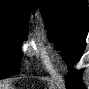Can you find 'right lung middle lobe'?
I'll list each match as a JSON object with an SVG mask.
<instances>
[{
  "label": "right lung middle lobe",
  "mask_w": 89,
  "mask_h": 89,
  "mask_svg": "<svg viewBox=\"0 0 89 89\" xmlns=\"http://www.w3.org/2000/svg\"><path fill=\"white\" fill-rule=\"evenodd\" d=\"M26 29L24 23L0 19V79L18 72L22 55L20 44Z\"/></svg>",
  "instance_id": "1"
}]
</instances>
